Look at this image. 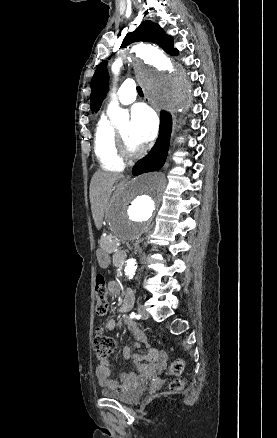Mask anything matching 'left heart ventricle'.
<instances>
[{
	"label": "left heart ventricle",
	"mask_w": 277,
	"mask_h": 438,
	"mask_svg": "<svg viewBox=\"0 0 277 438\" xmlns=\"http://www.w3.org/2000/svg\"><path fill=\"white\" fill-rule=\"evenodd\" d=\"M118 132L121 135H123V137L125 138L126 143L128 145V148L130 149V151L133 153L138 152V147L132 138L131 125L125 124L124 126H122L121 128L118 129Z\"/></svg>",
	"instance_id": "b2bd125f"
}]
</instances>
